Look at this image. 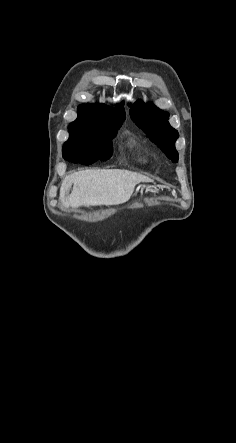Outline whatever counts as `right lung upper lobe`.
Here are the masks:
<instances>
[{
    "label": "right lung upper lobe",
    "instance_id": "obj_1",
    "mask_svg": "<svg viewBox=\"0 0 236 443\" xmlns=\"http://www.w3.org/2000/svg\"><path fill=\"white\" fill-rule=\"evenodd\" d=\"M123 103L115 107L105 104L87 103L78 106V118H106L113 120H125Z\"/></svg>",
    "mask_w": 236,
    "mask_h": 443
}]
</instances>
